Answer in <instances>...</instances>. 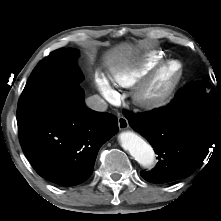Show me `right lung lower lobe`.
Returning <instances> with one entry per match:
<instances>
[{
  "label": "right lung lower lobe",
  "mask_w": 221,
  "mask_h": 221,
  "mask_svg": "<svg viewBox=\"0 0 221 221\" xmlns=\"http://www.w3.org/2000/svg\"><path fill=\"white\" fill-rule=\"evenodd\" d=\"M118 130V119L86 107L78 87L41 120L18 130L36 172L61 186H75L93 172L100 147Z\"/></svg>",
  "instance_id": "right-lung-lower-lobe-1"
}]
</instances>
